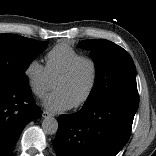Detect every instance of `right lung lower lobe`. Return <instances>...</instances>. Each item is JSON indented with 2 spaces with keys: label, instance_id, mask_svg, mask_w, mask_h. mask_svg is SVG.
Masks as SVG:
<instances>
[{
  "label": "right lung lower lobe",
  "instance_id": "obj_1",
  "mask_svg": "<svg viewBox=\"0 0 156 156\" xmlns=\"http://www.w3.org/2000/svg\"><path fill=\"white\" fill-rule=\"evenodd\" d=\"M41 115L29 87L0 84V156H7L24 127Z\"/></svg>",
  "mask_w": 156,
  "mask_h": 156
}]
</instances>
